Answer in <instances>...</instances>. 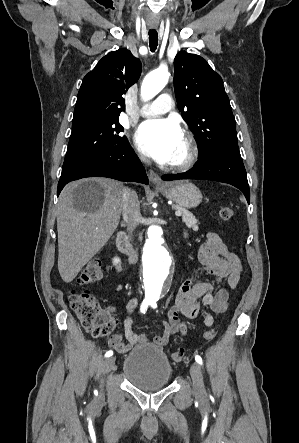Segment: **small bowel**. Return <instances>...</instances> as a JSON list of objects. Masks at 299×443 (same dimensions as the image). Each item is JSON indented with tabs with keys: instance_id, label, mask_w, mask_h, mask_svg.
<instances>
[{
	"instance_id": "1",
	"label": "small bowel",
	"mask_w": 299,
	"mask_h": 443,
	"mask_svg": "<svg viewBox=\"0 0 299 443\" xmlns=\"http://www.w3.org/2000/svg\"><path fill=\"white\" fill-rule=\"evenodd\" d=\"M198 259L203 272L214 276L218 282L226 280L231 289L238 286L244 272L242 262L223 244L217 233H207L206 239L198 251ZM228 303L229 291L227 287L221 286L214 291V286L210 282L195 281L193 277L186 279L181 284L175 302L168 311V320L162 324L163 333L155 335L151 344L160 348L165 346L175 334H185L187 326L183 318H197L202 306L208 307V311L204 315V324L211 326L214 317L222 314L227 309ZM138 304L137 298H132L127 302L126 316L123 320L124 333H115L109 339L110 347L119 353L124 354L135 345L149 342L145 334L133 331V314Z\"/></svg>"
}]
</instances>
